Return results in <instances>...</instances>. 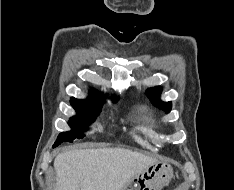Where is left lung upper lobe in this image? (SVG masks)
<instances>
[{"instance_id":"5c2ea615","label":"left lung upper lobe","mask_w":234,"mask_h":190,"mask_svg":"<svg viewBox=\"0 0 234 190\" xmlns=\"http://www.w3.org/2000/svg\"><path fill=\"white\" fill-rule=\"evenodd\" d=\"M162 89L160 87H153L146 91L150 100L159 108L165 110L166 113L170 112L172 108L171 102H163L160 100V94Z\"/></svg>"}]
</instances>
